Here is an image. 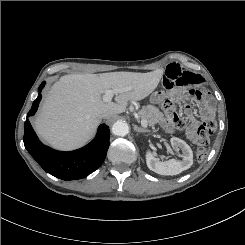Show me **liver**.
<instances>
[{"label":"liver","mask_w":245,"mask_h":245,"mask_svg":"<svg viewBox=\"0 0 245 245\" xmlns=\"http://www.w3.org/2000/svg\"><path fill=\"white\" fill-rule=\"evenodd\" d=\"M163 69L148 73L111 72L65 75L49 91L34 121L37 133L52 147L72 150L84 145L95 133L102 114L109 117L125 111L129 102L140 101L158 86ZM117 93L115 102H104L107 90Z\"/></svg>","instance_id":"obj_1"}]
</instances>
